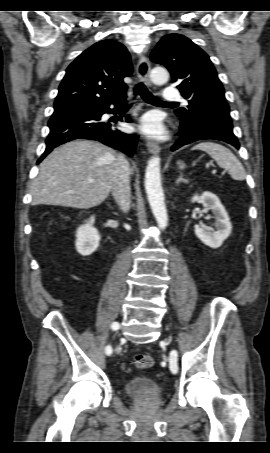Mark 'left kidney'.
Wrapping results in <instances>:
<instances>
[{
  "label": "left kidney",
  "instance_id": "5707ae66",
  "mask_svg": "<svg viewBox=\"0 0 270 453\" xmlns=\"http://www.w3.org/2000/svg\"><path fill=\"white\" fill-rule=\"evenodd\" d=\"M191 202L201 203L205 209L212 211L215 218L216 230L214 232H208L204 226L198 225L195 226V235L210 248H219L232 231V224L224 206L219 198L211 192H204L201 196L194 195Z\"/></svg>",
  "mask_w": 270,
  "mask_h": 453
}]
</instances>
